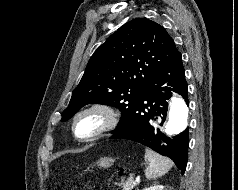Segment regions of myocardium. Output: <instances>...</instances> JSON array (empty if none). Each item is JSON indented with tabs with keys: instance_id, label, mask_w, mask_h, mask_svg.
<instances>
[{
	"instance_id": "1",
	"label": "myocardium",
	"mask_w": 238,
	"mask_h": 190,
	"mask_svg": "<svg viewBox=\"0 0 238 190\" xmlns=\"http://www.w3.org/2000/svg\"><path fill=\"white\" fill-rule=\"evenodd\" d=\"M97 114L102 118L101 126L88 135H82L78 131V122L86 115ZM119 117L114 107L105 103H93L79 110L72 121V131L75 137L81 141L96 140L112 131L118 124Z\"/></svg>"
}]
</instances>
